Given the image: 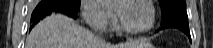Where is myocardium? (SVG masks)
<instances>
[{"mask_svg": "<svg viewBox=\"0 0 213 48\" xmlns=\"http://www.w3.org/2000/svg\"><path fill=\"white\" fill-rule=\"evenodd\" d=\"M124 2H126V3L139 2V3L145 4L149 8L151 16H150L149 24L145 28L130 29L122 22L119 14L117 13V24H118V28L120 31H122L123 33L128 34V35H141V34L149 32L151 29H153V27L155 25V21H156V10H155L154 5L152 4V1H150V0H124Z\"/></svg>", "mask_w": 213, "mask_h": 48, "instance_id": "1", "label": "myocardium"}]
</instances>
